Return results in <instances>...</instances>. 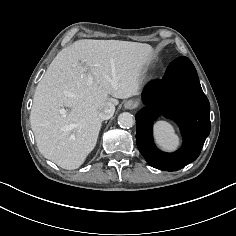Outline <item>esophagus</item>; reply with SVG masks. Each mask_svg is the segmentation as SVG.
Returning <instances> with one entry per match:
<instances>
[{
    "label": "esophagus",
    "mask_w": 236,
    "mask_h": 236,
    "mask_svg": "<svg viewBox=\"0 0 236 236\" xmlns=\"http://www.w3.org/2000/svg\"><path fill=\"white\" fill-rule=\"evenodd\" d=\"M125 109H135L138 107V102L136 100H128L124 104Z\"/></svg>",
    "instance_id": "obj_1"
}]
</instances>
